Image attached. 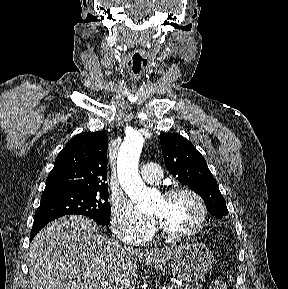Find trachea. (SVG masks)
I'll list each match as a JSON object with an SVG mask.
<instances>
[{"mask_svg": "<svg viewBox=\"0 0 288 289\" xmlns=\"http://www.w3.org/2000/svg\"><path fill=\"white\" fill-rule=\"evenodd\" d=\"M148 60L139 51H135L128 61V67L134 77L140 76L147 68Z\"/></svg>", "mask_w": 288, "mask_h": 289, "instance_id": "3493384b", "label": "trachea"}]
</instances>
